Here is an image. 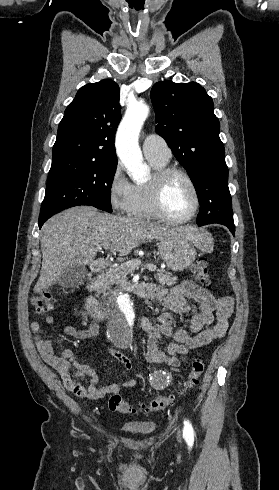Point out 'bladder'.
I'll list each match as a JSON object with an SVG mask.
<instances>
[{"label":"bladder","instance_id":"obj_1","mask_svg":"<svg viewBox=\"0 0 279 490\" xmlns=\"http://www.w3.org/2000/svg\"><path fill=\"white\" fill-rule=\"evenodd\" d=\"M135 436H150L156 430V425L152 421L138 422L128 428Z\"/></svg>","mask_w":279,"mask_h":490}]
</instances>
